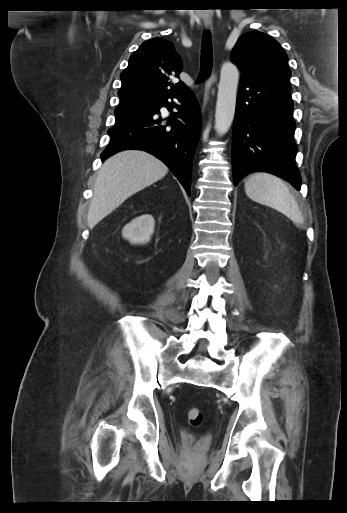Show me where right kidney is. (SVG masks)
<instances>
[{
  "mask_svg": "<svg viewBox=\"0 0 347 513\" xmlns=\"http://www.w3.org/2000/svg\"><path fill=\"white\" fill-rule=\"evenodd\" d=\"M154 227L153 216L145 214L126 224L122 230V236L132 244H146L154 233Z\"/></svg>",
  "mask_w": 347,
  "mask_h": 513,
  "instance_id": "right-kidney-1",
  "label": "right kidney"
}]
</instances>
